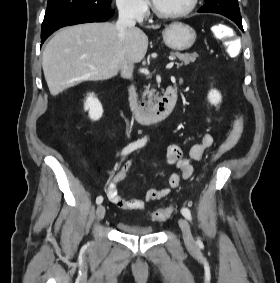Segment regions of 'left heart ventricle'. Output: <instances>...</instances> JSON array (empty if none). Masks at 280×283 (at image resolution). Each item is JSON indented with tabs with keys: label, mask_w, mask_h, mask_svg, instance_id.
I'll return each instance as SVG.
<instances>
[{
	"label": "left heart ventricle",
	"mask_w": 280,
	"mask_h": 283,
	"mask_svg": "<svg viewBox=\"0 0 280 283\" xmlns=\"http://www.w3.org/2000/svg\"><path fill=\"white\" fill-rule=\"evenodd\" d=\"M156 7L164 13H176L186 9L191 0H153Z\"/></svg>",
	"instance_id": "1"
}]
</instances>
